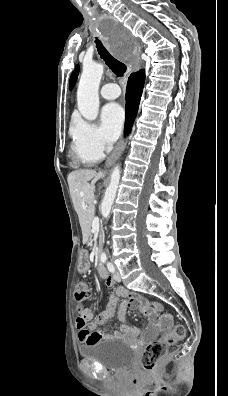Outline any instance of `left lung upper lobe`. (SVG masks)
Here are the masks:
<instances>
[{
    "instance_id": "left-lung-upper-lobe-1",
    "label": "left lung upper lobe",
    "mask_w": 228,
    "mask_h": 396,
    "mask_svg": "<svg viewBox=\"0 0 228 396\" xmlns=\"http://www.w3.org/2000/svg\"><path fill=\"white\" fill-rule=\"evenodd\" d=\"M79 74V66L77 65L75 70L72 72L71 74V78H70V90L74 87L76 81H77V77Z\"/></svg>"
}]
</instances>
